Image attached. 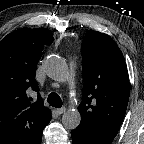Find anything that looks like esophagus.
Instances as JSON below:
<instances>
[{"instance_id":"34e87169","label":"esophagus","mask_w":144,"mask_h":144,"mask_svg":"<svg viewBox=\"0 0 144 144\" xmlns=\"http://www.w3.org/2000/svg\"><path fill=\"white\" fill-rule=\"evenodd\" d=\"M65 111H66L65 107H61V108H59V109L56 110V112H57L58 115H61V114L65 113Z\"/></svg>"}]
</instances>
